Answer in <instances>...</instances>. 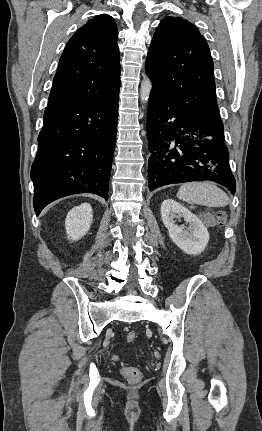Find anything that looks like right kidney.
Wrapping results in <instances>:
<instances>
[{
  "label": "right kidney",
  "instance_id": "obj_1",
  "mask_svg": "<svg viewBox=\"0 0 262 431\" xmlns=\"http://www.w3.org/2000/svg\"><path fill=\"white\" fill-rule=\"evenodd\" d=\"M92 218V207L89 203L72 208L65 220L68 239L78 240L84 236L90 228Z\"/></svg>",
  "mask_w": 262,
  "mask_h": 431
}]
</instances>
